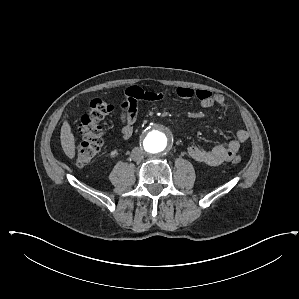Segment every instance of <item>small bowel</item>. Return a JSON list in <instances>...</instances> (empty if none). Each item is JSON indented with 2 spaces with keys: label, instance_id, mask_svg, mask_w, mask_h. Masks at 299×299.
<instances>
[{
  "label": "small bowel",
  "instance_id": "1",
  "mask_svg": "<svg viewBox=\"0 0 299 299\" xmlns=\"http://www.w3.org/2000/svg\"><path fill=\"white\" fill-rule=\"evenodd\" d=\"M176 94L179 98L197 100L201 108H211L214 106L224 107L225 98L219 94H212L203 89H192L189 87H178ZM164 98L163 92L154 88H141L132 86L126 90V98L121 104V137L128 140L133 136L134 123L137 118V102L138 101H160ZM249 139V133L246 130L236 131L234 138L226 143H220L210 149L198 146H188L187 154L194 161L205 164L207 166H218L224 162L230 161L235 156L241 145Z\"/></svg>",
  "mask_w": 299,
  "mask_h": 299
}]
</instances>
